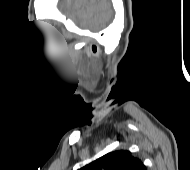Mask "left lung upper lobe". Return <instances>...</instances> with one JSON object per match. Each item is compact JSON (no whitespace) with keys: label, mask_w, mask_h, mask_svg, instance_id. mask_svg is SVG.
I'll return each instance as SVG.
<instances>
[{"label":"left lung upper lobe","mask_w":190,"mask_h":170,"mask_svg":"<svg viewBox=\"0 0 190 170\" xmlns=\"http://www.w3.org/2000/svg\"><path fill=\"white\" fill-rule=\"evenodd\" d=\"M79 170H146L144 164L126 150L110 152Z\"/></svg>","instance_id":"obj_1"}]
</instances>
